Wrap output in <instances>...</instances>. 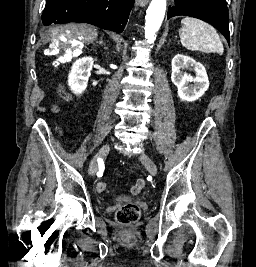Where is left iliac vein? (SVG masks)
<instances>
[{"label":"left iliac vein","instance_id":"1","mask_svg":"<svg viewBox=\"0 0 256 267\" xmlns=\"http://www.w3.org/2000/svg\"><path fill=\"white\" fill-rule=\"evenodd\" d=\"M139 160L144 166L148 167L151 174H153V175L157 174V172H158L157 166L155 165L153 160L151 158H149L146 154H140Z\"/></svg>","mask_w":256,"mask_h":267}]
</instances>
